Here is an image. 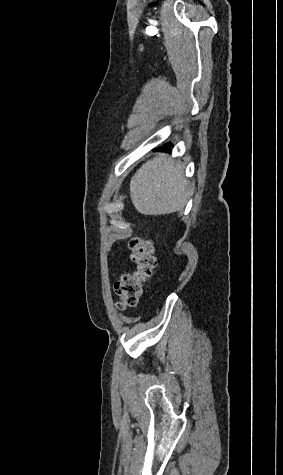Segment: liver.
Masks as SVG:
<instances>
[{"mask_svg": "<svg viewBox=\"0 0 283 475\" xmlns=\"http://www.w3.org/2000/svg\"><path fill=\"white\" fill-rule=\"evenodd\" d=\"M186 186L181 166L166 154H158L131 178L132 204L145 216L179 212L186 204Z\"/></svg>", "mask_w": 283, "mask_h": 475, "instance_id": "liver-1", "label": "liver"}]
</instances>
